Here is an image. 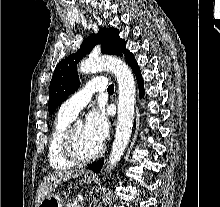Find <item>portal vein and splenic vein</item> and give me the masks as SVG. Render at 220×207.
<instances>
[{
	"mask_svg": "<svg viewBox=\"0 0 220 207\" xmlns=\"http://www.w3.org/2000/svg\"><path fill=\"white\" fill-rule=\"evenodd\" d=\"M78 201H79V202H82V201H83V196H79V197H78Z\"/></svg>",
	"mask_w": 220,
	"mask_h": 207,
	"instance_id": "obj_1",
	"label": "portal vein and splenic vein"
}]
</instances>
